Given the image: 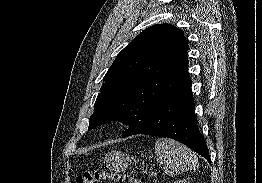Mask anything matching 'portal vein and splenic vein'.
<instances>
[{"label": "portal vein and splenic vein", "mask_w": 262, "mask_h": 183, "mask_svg": "<svg viewBox=\"0 0 262 183\" xmlns=\"http://www.w3.org/2000/svg\"><path fill=\"white\" fill-rule=\"evenodd\" d=\"M150 175H156V173H155V172H153V171H151V172H150Z\"/></svg>", "instance_id": "18ae733b"}]
</instances>
